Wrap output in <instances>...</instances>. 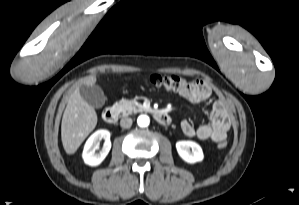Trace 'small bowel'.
I'll use <instances>...</instances> for the list:
<instances>
[{
    "label": "small bowel",
    "mask_w": 299,
    "mask_h": 205,
    "mask_svg": "<svg viewBox=\"0 0 299 205\" xmlns=\"http://www.w3.org/2000/svg\"><path fill=\"white\" fill-rule=\"evenodd\" d=\"M179 94L191 103H201L209 100L213 91L205 81L196 80L188 88L179 91ZM229 129V111L226 104L220 99L212 105L209 123L194 127L187 120L181 122V130L184 135L197 137L200 140L210 139L214 142L225 140Z\"/></svg>",
    "instance_id": "small-bowel-1"
}]
</instances>
